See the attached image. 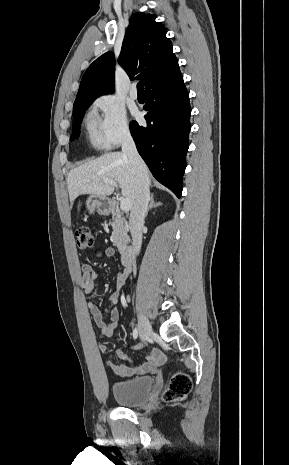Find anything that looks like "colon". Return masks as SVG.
I'll return each mask as SVG.
<instances>
[{
  "instance_id": "5ec220e1",
  "label": "colon",
  "mask_w": 289,
  "mask_h": 465,
  "mask_svg": "<svg viewBox=\"0 0 289 465\" xmlns=\"http://www.w3.org/2000/svg\"><path fill=\"white\" fill-rule=\"evenodd\" d=\"M77 247L81 250H86L94 247L95 237L92 229L89 226L83 225L76 230ZM192 388V383L189 377L185 374L175 375L169 384V388L165 393V399L168 401L181 400L187 396Z\"/></svg>"
}]
</instances>
